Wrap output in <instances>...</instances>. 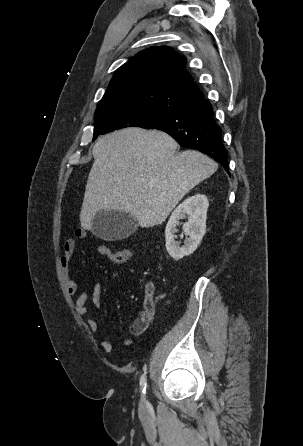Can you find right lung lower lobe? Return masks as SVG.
I'll return each mask as SVG.
<instances>
[{"label": "right lung lower lobe", "instance_id": "obj_1", "mask_svg": "<svg viewBox=\"0 0 303 446\" xmlns=\"http://www.w3.org/2000/svg\"><path fill=\"white\" fill-rule=\"evenodd\" d=\"M168 133L181 146L196 149L218 161L228 171V153L221 129L213 118V108L203 97L168 111L140 126Z\"/></svg>", "mask_w": 303, "mask_h": 446}]
</instances>
